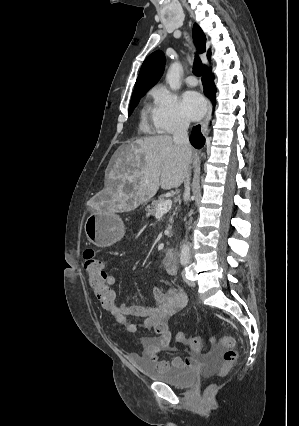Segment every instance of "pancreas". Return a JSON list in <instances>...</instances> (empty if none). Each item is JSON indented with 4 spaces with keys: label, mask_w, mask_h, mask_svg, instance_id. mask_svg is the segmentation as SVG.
<instances>
[{
    "label": "pancreas",
    "mask_w": 299,
    "mask_h": 426,
    "mask_svg": "<svg viewBox=\"0 0 299 426\" xmlns=\"http://www.w3.org/2000/svg\"><path fill=\"white\" fill-rule=\"evenodd\" d=\"M166 200L162 197V198H160L159 200H155V201H153L152 202V205L147 209V215L148 216H150V215H155L156 214V212H157V208H158V205L160 204V203H163V202H165ZM173 215H174V213H173ZM172 220H173V216H171L170 218H169V221L170 222H172ZM169 228H170V226H169Z\"/></svg>",
    "instance_id": "obj_1"
}]
</instances>
